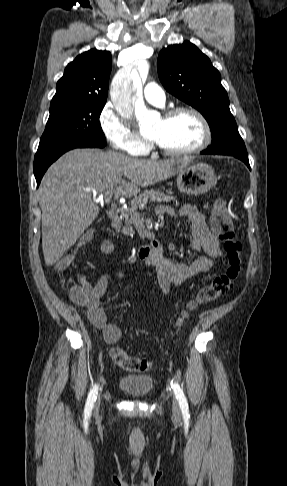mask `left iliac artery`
I'll return each mask as SVG.
<instances>
[{
	"label": "left iliac artery",
	"instance_id": "44dca946",
	"mask_svg": "<svg viewBox=\"0 0 287 486\" xmlns=\"http://www.w3.org/2000/svg\"><path fill=\"white\" fill-rule=\"evenodd\" d=\"M171 387L173 388L175 396H176L177 400L179 401L180 409L182 411L183 416L189 417L188 403H187V399L184 395L183 390L181 389V387L177 383H174L173 381L171 382Z\"/></svg>",
	"mask_w": 287,
	"mask_h": 486
}]
</instances>
